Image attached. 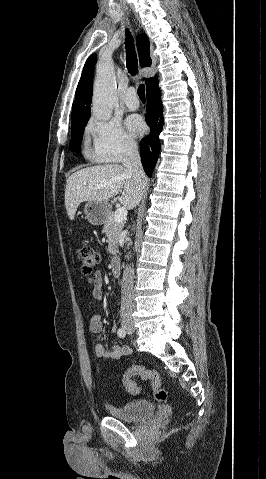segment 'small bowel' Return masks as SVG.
<instances>
[{"instance_id": "1", "label": "small bowel", "mask_w": 266, "mask_h": 479, "mask_svg": "<svg viewBox=\"0 0 266 479\" xmlns=\"http://www.w3.org/2000/svg\"><path fill=\"white\" fill-rule=\"evenodd\" d=\"M102 275L96 272L92 278L93 290L92 296L95 299H101L102 292ZM90 331L94 334H101L103 331V317L101 313L94 314L89 322ZM95 354L99 359L106 361H116L131 354V349L127 346L113 344L109 350H106L101 343L95 346Z\"/></svg>"}]
</instances>
